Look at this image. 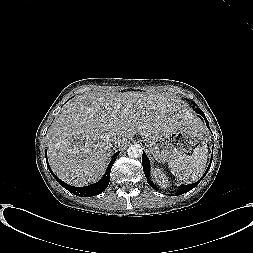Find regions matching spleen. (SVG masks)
<instances>
[{"mask_svg":"<svg viewBox=\"0 0 253 253\" xmlns=\"http://www.w3.org/2000/svg\"><path fill=\"white\" fill-rule=\"evenodd\" d=\"M207 153V145L203 142L191 156L181 155L168 160V167L179 180L186 183L196 181L205 172Z\"/></svg>","mask_w":253,"mask_h":253,"instance_id":"3e777b00","label":"spleen"}]
</instances>
